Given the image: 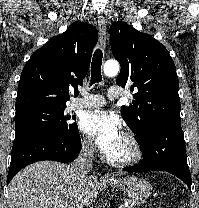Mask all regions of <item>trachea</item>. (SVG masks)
<instances>
[{
  "label": "trachea",
  "mask_w": 199,
  "mask_h": 208,
  "mask_svg": "<svg viewBox=\"0 0 199 208\" xmlns=\"http://www.w3.org/2000/svg\"><path fill=\"white\" fill-rule=\"evenodd\" d=\"M103 54L100 49L94 52L92 63H91V82L90 85L94 83H99L102 81L101 75V65H102Z\"/></svg>",
  "instance_id": "trachea-1"
}]
</instances>
